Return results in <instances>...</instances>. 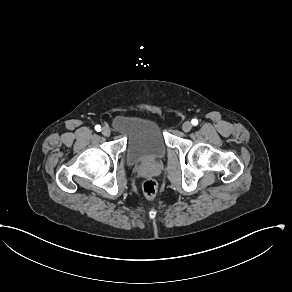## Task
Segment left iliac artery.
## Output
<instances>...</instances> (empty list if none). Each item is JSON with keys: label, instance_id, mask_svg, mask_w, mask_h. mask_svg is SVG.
<instances>
[{"label": "left iliac artery", "instance_id": "44dca946", "mask_svg": "<svg viewBox=\"0 0 292 292\" xmlns=\"http://www.w3.org/2000/svg\"><path fill=\"white\" fill-rule=\"evenodd\" d=\"M191 123H192L194 126H196V125H198V120L194 118V119H192Z\"/></svg>", "mask_w": 292, "mask_h": 292}]
</instances>
